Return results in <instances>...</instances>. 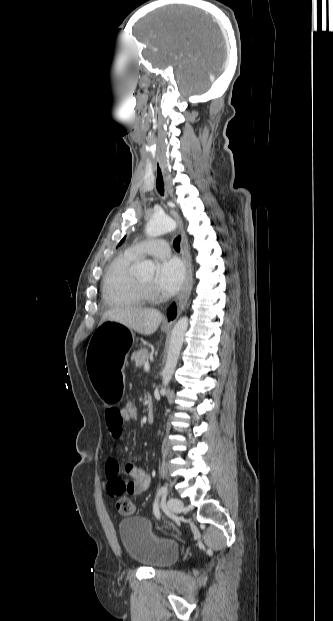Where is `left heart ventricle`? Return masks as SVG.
I'll list each match as a JSON object with an SVG mask.
<instances>
[{"instance_id":"left-heart-ventricle-1","label":"left heart ventricle","mask_w":333,"mask_h":621,"mask_svg":"<svg viewBox=\"0 0 333 621\" xmlns=\"http://www.w3.org/2000/svg\"><path fill=\"white\" fill-rule=\"evenodd\" d=\"M153 280H154V279H153V277H152V276H150V277H147V278H143V279H141V280H140V282H142L143 284H146V285L152 286V284H153Z\"/></svg>"}]
</instances>
